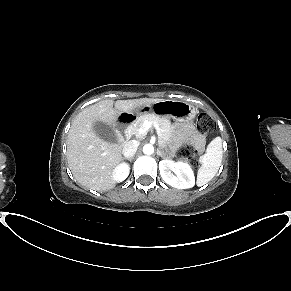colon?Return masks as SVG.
I'll list each match as a JSON object with an SVG mask.
<instances>
[{
    "mask_svg": "<svg viewBox=\"0 0 291 291\" xmlns=\"http://www.w3.org/2000/svg\"><path fill=\"white\" fill-rule=\"evenodd\" d=\"M196 128L200 132L213 130V119L207 114H200L197 118ZM178 156L185 162L195 163L197 159V151L191 145H183L178 149Z\"/></svg>",
    "mask_w": 291,
    "mask_h": 291,
    "instance_id": "colon-1",
    "label": "colon"
}]
</instances>
